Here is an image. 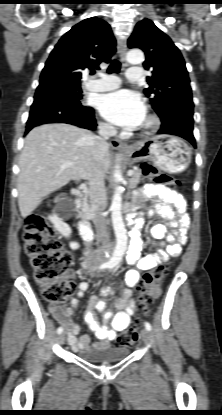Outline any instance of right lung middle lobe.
Listing matches in <instances>:
<instances>
[{
    "mask_svg": "<svg viewBox=\"0 0 222 415\" xmlns=\"http://www.w3.org/2000/svg\"><path fill=\"white\" fill-rule=\"evenodd\" d=\"M65 83H66L68 91L72 93V95L75 96L76 98L81 99L82 91H81L80 85H75L68 81H65Z\"/></svg>",
    "mask_w": 222,
    "mask_h": 415,
    "instance_id": "1",
    "label": "right lung middle lobe"
}]
</instances>
